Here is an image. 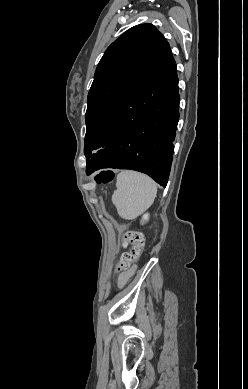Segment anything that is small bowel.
Masks as SVG:
<instances>
[{
	"label": "small bowel",
	"mask_w": 248,
	"mask_h": 389,
	"mask_svg": "<svg viewBox=\"0 0 248 389\" xmlns=\"http://www.w3.org/2000/svg\"><path fill=\"white\" fill-rule=\"evenodd\" d=\"M130 275H131V273H123V274H121L119 276V278H118L119 285H124L127 282V280H128Z\"/></svg>",
	"instance_id": "c3829d8e"
}]
</instances>
